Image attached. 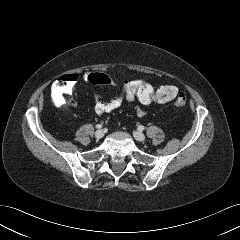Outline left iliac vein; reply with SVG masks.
<instances>
[{
	"label": "left iliac vein",
	"instance_id": "obj_1",
	"mask_svg": "<svg viewBox=\"0 0 240 240\" xmlns=\"http://www.w3.org/2000/svg\"><path fill=\"white\" fill-rule=\"evenodd\" d=\"M133 136H134V138L136 139V140H138V141H140V142H143V141H145V135L143 134V133H141V132H138V131H135L134 133H133Z\"/></svg>",
	"mask_w": 240,
	"mask_h": 240
}]
</instances>
